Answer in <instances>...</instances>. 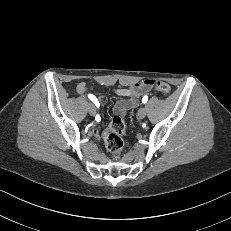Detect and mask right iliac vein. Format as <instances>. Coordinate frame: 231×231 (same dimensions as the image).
<instances>
[{
	"instance_id": "63e3f726",
	"label": "right iliac vein",
	"mask_w": 231,
	"mask_h": 231,
	"mask_svg": "<svg viewBox=\"0 0 231 231\" xmlns=\"http://www.w3.org/2000/svg\"><path fill=\"white\" fill-rule=\"evenodd\" d=\"M88 111H89V114H90V115L94 116L95 113H96L95 106H94L93 104L90 103L89 106H88Z\"/></svg>"
}]
</instances>
